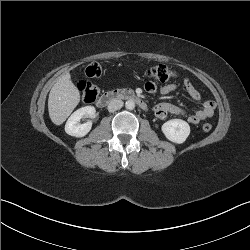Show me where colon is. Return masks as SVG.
I'll use <instances>...</instances> for the list:
<instances>
[{"instance_id":"colon-1","label":"colon","mask_w":250,"mask_h":250,"mask_svg":"<svg viewBox=\"0 0 250 250\" xmlns=\"http://www.w3.org/2000/svg\"><path fill=\"white\" fill-rule=\"evenodd\" d=\"M102 72L103 68L98 62L90 63L85 70L86 76L90 78L99 77L102 75ZM147 75L148 77L160 82H166L178 78V74L176 71L163 64H158L150 67L147 71ZM78 88L85 103H93L97 99L100 92L99 88L96 85L91 84L87 81H80L78 83ZM202 129L205 132H209L212 129V125L210 123H205L203 124Z\"/></svg>"}]
</instances>
